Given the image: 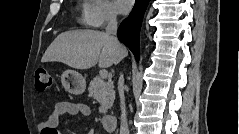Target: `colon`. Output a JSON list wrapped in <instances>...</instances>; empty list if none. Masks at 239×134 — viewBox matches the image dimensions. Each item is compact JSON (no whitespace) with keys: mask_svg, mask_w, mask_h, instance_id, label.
Returning a JSON list of instances; mask_svg holds the SVG:
<instances>
[{"mask_svg":"<svg viewBox=\"0 0 239 134\" xmlns=\"http://www.w3.org/2000/svg\"><path fill=\"white\" fill-rule=\"evenodd\" d=\"M52 85V78L50 74L43 69H39L35 73V87L39 92H45Z\"/></svg>","mask_w":239,"mask_h":134,"instance_id":"5ec220e1","label":"colon"}]
</instances>
